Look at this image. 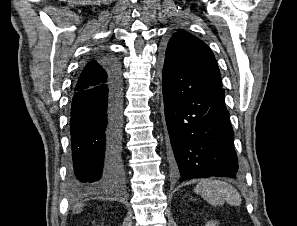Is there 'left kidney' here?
<instances>
[{"label": "left kidney", "instance_id": "5707ae66", "mask_svg": "<svg viewBox=\"0 0 297 226\" xmlns=\"http://www.w3.org/2000/svg\"><path fill=\"white\" fill-rule=\"evenodd\" d=\"M206 226H216V222L214 221H209Z\"/></svg>", "mask_w": 297, "mask_h": 226}]
</instances>
